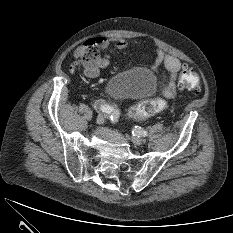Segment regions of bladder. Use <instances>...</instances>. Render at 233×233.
Here are the masks:
<instances>
[{"label": "bladder", "mask_w": 233, "mask_h": 233, "mask_svg": "<svg viewBox=\"0 0 233 233\" xmlns=\"http://www.w3.org/2000/svg\"><path fill=\"white\" fill-rule=\"evenodd\" d=\"M157 86L155 74L146 68H131L110 78L107 94L115 99H138L151 95Z\"/></svg>", "instance_id": "obj_1"}]
</instances>
